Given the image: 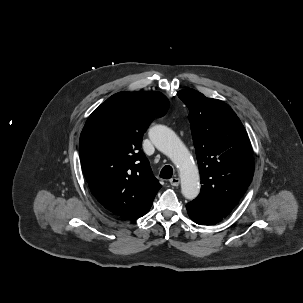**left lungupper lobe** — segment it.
Segmentation results:
<instances>
[{"instance_id":"left-lung-upper-lobe-1","label":"left lung upper lobe","mask_w":303,"mask_h":303,"mask_svg":"<svg viewBox=\"0 0 303 303\" xmlns=\"http://www.w3.org/2000/svg\"><path fill=\"white\" fill-rule=\"evenodd\" d=\"M177 95L190 111L188 118L203 184L193 202L226 217L243 197L254 173L247 132L225 102L190 88Z\"/></svg>"}]
</instances>
